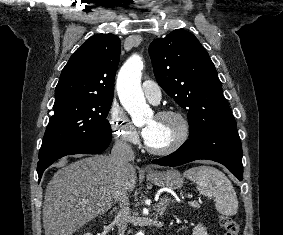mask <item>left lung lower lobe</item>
Listing matches in <instances>:
<instances>
[{
	"label": "left lung lower lobe",
	"instance_id": "obj_1",
	"mask_svg": "<svg viewBox=\"0 0 283 235\" xmlns=\"http://www.w3.org/2000/svg\"><path fill=\"white\" fill-rule=\"evenodd\" d=\"M198 159L219 162L238 180L243 179L242 146L236 128L190 137L174 153L152 163L173 167Z\"/></svg>",
	"mask_w": 283,
	"mask_h": 235
}]
</instances>
